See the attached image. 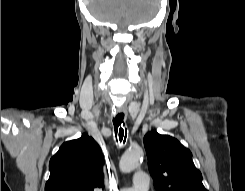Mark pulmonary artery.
<instances>
[{"label": "pulmonary artery", "instance_id": "1", "mask_svg": "<svg viewBox=\"0 0 245 191\" xmlns=\"http://www.w3.org/2000/svg\"><path fill=\"white\" fill-rule=\"evenodd\" d=\"M132 186L122 188L120 191H148L150 186V179L146 172L137 171L133 175Z\"/></svg>", "mask_w": 245, "mask_h": 191}]
</instances>
